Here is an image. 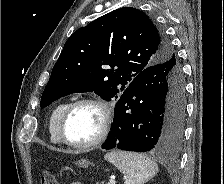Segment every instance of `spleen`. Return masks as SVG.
Segmentation results:
<instances>
[{
    "label": "spleen",
    "instance_id": "spleen-1",
    "mask_svg": "<svg viewBox=\"0 0 224 184\" xmlns=\"http://www.w3.org/2000/svg\"><path fill=\"white\" fill-rule=\"evenodd\" d=\"M104 158L125 175L124 184H144L158 172L157 163L139 153L113 151Z\"/></svg>",
    "mask_w": 224,
    "mask_h": 184
}]
</instances>
